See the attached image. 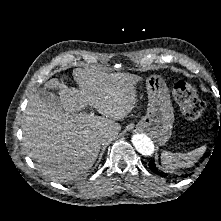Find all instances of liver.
Instances as JSON below:
<instances>
[{"label":"liver","instance_id":"liver-1","mask_svg":"<svg viewBox=\"0 0 221 221\" xmlns=\"http://www.w3.org/2000/svg\"><path fill=\"white\" fill-rule=\"evenodd\" d=\"M79 89L49 80L46 89L58 88L61 107L47 105L39 93L30 96L23 115V142L29 157L43 174L68 182L85 174L98 157L101 145L115 138L124 119L137 103L136 84L142 79L127 73L75 69ZM94 107L102 116L81 113ZM109 133L105 139L102 133Z\"/></svg>","mask_w":221,"mask_h":221}]
</instances>
